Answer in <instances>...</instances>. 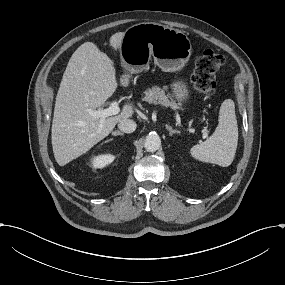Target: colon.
I'll use <instances>...</instances> for the list:
<instances>
[{"label":"colon","instance_id":"obj_1","mask_svg":"<svg viewBox=\"0 0 285 285\" xmlns=\"http://www.w3.org/2000/svg\"><path fill=\"white\" fill-rule=\"evenodd\" d=\"M222 55L213 50H205L195 62L192 82L195 89L206 96H211L216 90V73L224 64Z\"/></svg>","mask_w":285,"mask_h":285}]
</instances>
